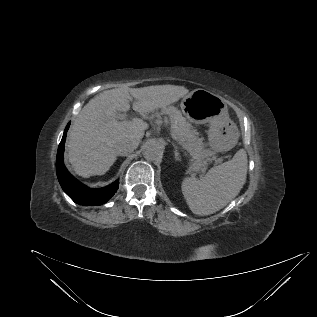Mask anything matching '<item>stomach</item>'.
Returning <instances> with one entry per match:
<instances>
[{"label":"stomach","instance_id":"obj_1","mask_svg":"<svg viewBox=\"0 0 317 317\" xmlns=\"http://www.w3.org/2000/svg\"><path fill=\"white\" fill-rule=\"evenodd\" d=\"M182 109L193 108L203 113L199 120L209 123L208 137L210 146L215 151H228L238 142L239 131L229 118L224 99L205 89H195L182 101Z\"/></svg>","mask_w":317,"mask_h":317}]
</instances>
